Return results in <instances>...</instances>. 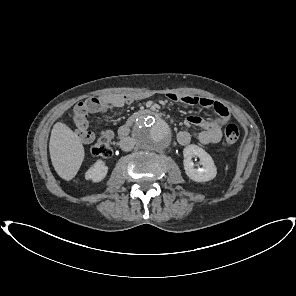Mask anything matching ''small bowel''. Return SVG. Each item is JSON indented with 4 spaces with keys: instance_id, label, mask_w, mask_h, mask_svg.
Returning <instances> with one entry per match:
<instances>
[{
    "instance_id": "c3829d8e",
    "label": "small bowel",
    "mask_w": 296,
    "mask_h": 296,
    "mask_svg": "<svg viewBox=\"0 0 296 296\" xmlns=\"http://www.w3.org/2000/svg\"><path fill=\"white\" fill-rule=\"evenodd\" d=\"M167 98L172 102H179L190 106H200L206 109H213L217 117L213 120L203 119L199 116H189L187 123L196 126L200 130L196 133L197 140L202 145L218 143L222 137V128L230 121V111L224 104L214 101L206 97H198L193 95H183L171 93ZM133 101L128 95L106 94L98 97L89 98L80 102L75 108V133L78 139L89 144L94 141L97 132L89 129L87 120L88 114L103 113L111 108L123 107ZM84 108V112L79 113L78 109ZM99 134L111 139L115 136L114 131L108 129L99 132ZM177 141L181 145H188L191 141V135L187 131H179L177 133Z\"/></svg>"
}]
</instances>
